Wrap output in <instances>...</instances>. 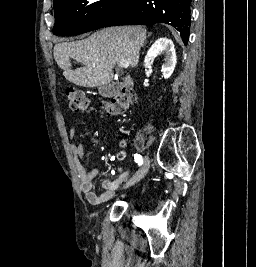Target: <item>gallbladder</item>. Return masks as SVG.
<instances>
[{
    "label": "gallbladder",
    "instance_id": "1",
    "mask_svg": "<svg viewBox=\"0 0 256 267\" xmlns=\"http://www.w3.org/2000/svg\"><path fill=\"white\" fill-rule=\"evenodd\" d=\"M122 82H116V84H105V86H99L98 92L103 98H113L120 90Z\"/></svg>",
    "mask_w": 256,
    "mask_h": 267
}]
</instances>
